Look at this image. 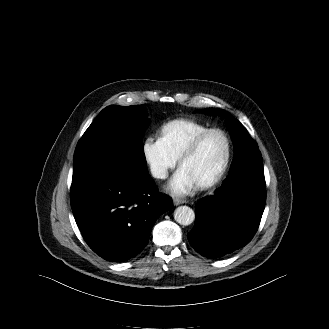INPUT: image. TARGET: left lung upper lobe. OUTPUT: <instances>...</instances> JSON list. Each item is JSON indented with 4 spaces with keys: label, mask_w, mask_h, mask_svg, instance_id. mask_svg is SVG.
<instances>
[{
    "label": "left lung upper lobe",
    "mask_w": 329,
    "mask_h": 329,
    "mask_svg": "<svg viewBox=\"0 0 329 329\" xmlns=\"http://www.w3.org/2000/svg\"><path fill=\"white\" fill-rule=\"evenodd\" d=\"M197 112L205 113H221L222 110L208 108L199 110ZM231 136L235 146V154L232 164L237 160H249L256 164H262V156L258 149V145L254 139L248 134L245 127L237 120L232 119L230 122ZM219 190L216 191L215 196H218Z\"/></svg>",
    "instance_id": "1"
}]
</instances>
